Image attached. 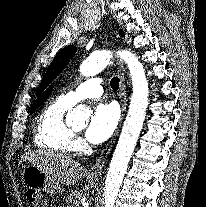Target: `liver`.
<instances>
[{"label": "liver", "instance_id": "6515ba94", "mask_svg": "<svg viewBox=\"0 0 206 207\" xmlns=\"http://www.w3.org/2000/svg\"><path fill=\"white\" fill-rule=\"evenodd\" d=\"M32 165L50 176L53 180L65 185L75 184L83 175V166L65 156L54 151L30 152L24 156Z\"/></svg>", "mask_w": 206, "mask_h": 207}]
</instances>
